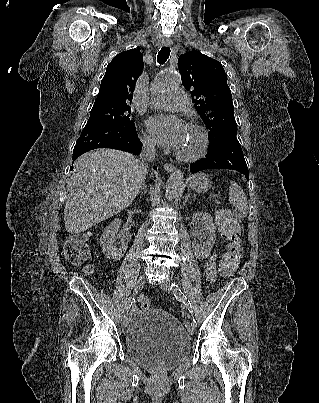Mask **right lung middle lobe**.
<instances>
[{
    "label": "right lung middle lobe",
    "mask_w": 319,
    "mask_h": 403,
    "mask_svg": "<svg viewBox=\"0 0 319 403\" xmlns=\"http://www.w3.org/2000/svg\"><path fill=\"white\" fill-rule=\"evenodd\" d=\"M130 113L131 108L126 104L94 102L86 126L118 124L129 129H135L134 122L129 118Z\"/></svg>",
    "instance_id": "dd1d6c3e"
}]
</instances>
